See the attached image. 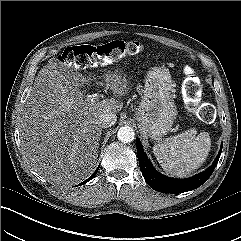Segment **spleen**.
<instances>
[{
	"mask_svg": "<svg viewBox=\"0 0 241 241\" xmlns=\"http://www.w3.org/2000/svg\"><path fill=\"white\" fill-rule=\"evenodd\" d=\"M210 149L209 134L197 135L195 129H190L154 145L153 153L166 173L184 177L206 161Z\"/></svg>",
	"mask_w": 241,
	"mask_h": 241,
	"instance_id": "1",
	"label": "spleen"
}]
</instances>
